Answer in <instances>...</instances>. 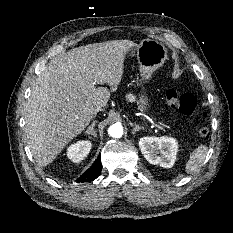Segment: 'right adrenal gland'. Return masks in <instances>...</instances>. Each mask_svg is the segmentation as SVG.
<instances>
[{
  "mask_svg": "<svg viewBox=\"0 0 233 233\" xmlns=\"http://www.w3.org/2000/svg\"><path fill=\"white\" fill-rule=\"evenodd\" d=\"M97 123V121H93V123L88 127V129L85 131V134H91L94 137H97V134L94 130L95 124Z\"/></svg>",
  "mask_w": 233,
  "mask_h": 233,
  "instance_id": "obj_1",
  "label": "right adrenal gland"
}]
</instances>
